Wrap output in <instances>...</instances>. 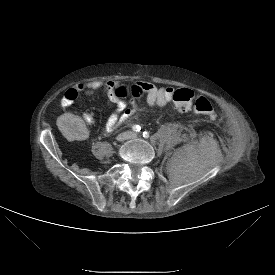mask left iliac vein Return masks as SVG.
Wrapping results in <instances>:
<instances>
[{"label": "left iliac vein", "instance_id": "1", "mask_svg": "<svg viewBox=\"0 0 275 275\" xmlns=\"http://www.w3.org/2000/svg\"><path fill=\"white\" fill-rule=\"evenodd\" d=\"M137 137H138V135H137L136 133H132V134H131V138H132V139H135V138H137Z\"/></svg>", "mask_w": 275, "mask_h": 275}]
</instances>
